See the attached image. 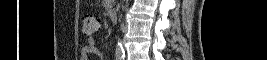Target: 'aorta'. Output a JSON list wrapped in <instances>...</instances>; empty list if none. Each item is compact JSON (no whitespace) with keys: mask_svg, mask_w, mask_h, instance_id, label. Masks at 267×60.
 <instances>
[{"mask_svg":"<svg viewBox=\"0 0 267 60\" xmlns=\"http://www.w3.org/2000/svg\"><path fill=\"white\" fill-rule=\"evenodd\" d=\"M128 2H129V0H125V6H123V9H126V8L128 7ZM116 51H117L119 54H122V53H123V47H122L120 41H119L118 44H117Z\"/></svg>","mask_w":267,"mask_h":60,"instance_id":"obj_1","label":"aorta"}]
</instances>
